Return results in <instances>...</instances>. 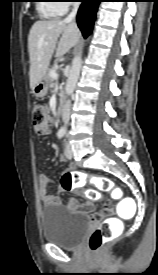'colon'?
Segmentation results:
<instances>
[{"mask_svg": "<svg viewBox=\"0 0 158 275\" xmlns=\"http://www.w3.org/2000/svg\"><path fill=\"white\" fill-rule=\"evenodd\" d=\"M33 121L36 131L42 134L51 126L47 107L35 102L33 105ZM93 184L101 191H111L116 197H121L120 189L116 188L113 182L107 177L94 176L85 172L74 171L66 172L62 175L60 186L64 191H76L83 188L86 184ZM87 196L91 199H98L99 193L95 190H88ZM110 212L109 207H105L96 217H104ZM117 237V230L115 225L110 220H105L100 227H98L91 234L89 238V247L93 251H99L107 242Z\"/></svg>", "mask_w": 158, "mask_h": 275, "instance_id": "colon-1", "label": "colon"}]
</instances>
